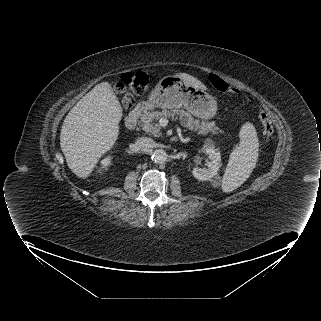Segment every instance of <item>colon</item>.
<instances>
[{"label":"colon","instance_id":"colon-1","mask_svg":"<svg viewBox=\"0 0 321 321\" xmlns=\"http://www.w3.org/2000/svg\"><path fill=\"white\" fill-rule=\"evenodd\" d=\"M211 85L219 92L230 95L231 97L239 100L240 94L234 89L228 82L219 77L218 75L211 74L209 77ZM148 84L147 72H134L130 71L123 75L121 83L118 87V92L122 96L123 104L125 107H130L134 97L144 92ZM259 120L263 126V131L267 139H269L273 133L274 128L268 114L264 111H260Z\"/></svg>","mask_w":321,"mask_h":321}]
</instances>
